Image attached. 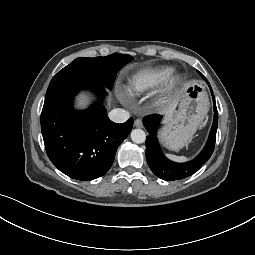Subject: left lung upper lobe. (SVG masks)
<instances>
[{
  "label": "left lung upper lobe",
  "instance_id": "obj_1",
  "mask_svg": "<svg viewBox=\"0 0 255 255\" xmlns=\"http://www.w3.org/2000/svg\"><path fill=\"white\" fill-rule=\"evenodd\" d=\"M200 73V72H199ZM200 75L203 77V78H205L203 75H202V73H200Z\"/></svg>",
  "mask_w": 255,
  "mask_h": 255
}]
</instances>
